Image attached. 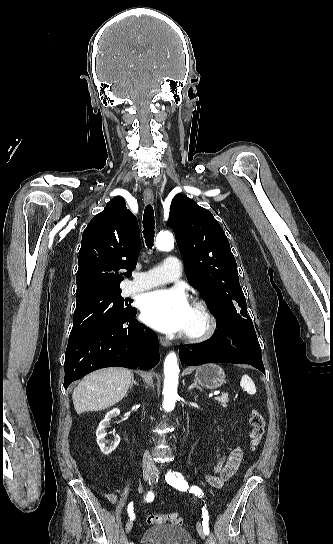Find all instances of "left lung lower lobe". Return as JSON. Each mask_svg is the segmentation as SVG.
Returning <instances> with one entry per match:
<instances>
[{"label": "left lung lower lobe", "instance_id": "0a47b994", "mask_svg": "<svg viewBox=\"0 0 333 544\" xmlns=\"http://www.w3.org/2000/svg\"><path fill=\"white\" fill-rule=\"evenodd\" d=\"M181 363L195 366L206 362L249 364L265 373L261 349L244 324L218 326L208 340L180 346Z\"/></svg>", "mask_w": 333, "mask_h": 544}]
</instances>
